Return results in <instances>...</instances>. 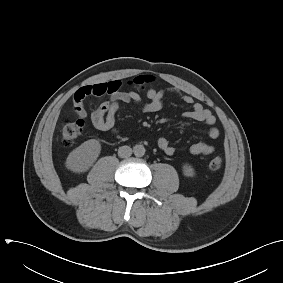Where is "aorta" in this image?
Masks as SVG:
<instances>
[{
	"instance_id": "obj_1",
	"label": "aorta",
	"mask_w": 283,
	"mask_h": 283,
	"mask_svg": "<svg viewBox=\"0 0 283 283\" xmlns=\"http://www.w3.org/2000/svg\"><path fill=\"white\" fill-rule=\"evenodd\" d=\"M135 156L142 157L145 154V147L143 145H135L133 148Z\"/></svg>"
}]
</instances>
